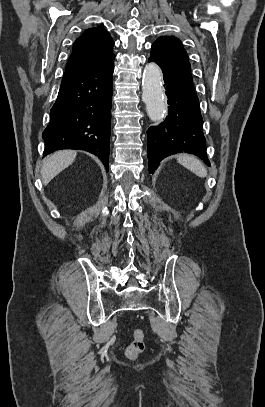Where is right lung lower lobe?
Masks as SVG:
<instances>
[{"label":"right lung lower lobe","mask_w":265,"mask_h":407,"mask_svg":"<svg viewBox=\"0 0 265 407\" xmlns=\"http://www.w3.org/2000/svg\"><path fill=\"white\" fill-rule=\"evenodd\" d=\"M114 58L112 54L63 78L42 134L44 156L60 149L85 150L98 156L108 171Z\"/></svg>","instance_id":"obj_1"}]
</instances>
